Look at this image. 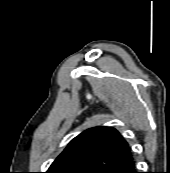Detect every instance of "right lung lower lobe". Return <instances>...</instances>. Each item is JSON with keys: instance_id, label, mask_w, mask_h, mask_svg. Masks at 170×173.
<instances>
[{"instance_id": "98d812e1", "label": "right lung lower lobe", "mask_w": 170, "mask_h": 173, "mask_svg": "<svg viewBox=\"0 0 170 173\" xmlns=\"http://www.w3.org/2000/svg\"><path fill=\"white\" fill-rule=\"evenodd\" d=\"M104 173H138L135 167V162L133 158L124 161L120 164H117L106 171Z\"/></svg>"}]
</instances>
